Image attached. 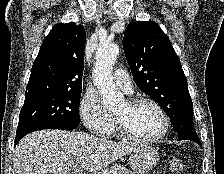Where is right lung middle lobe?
<instances>
[{"label": "right lung middle lobe", "instance_id": "1", "mask_svg": "<svg viewBox=\"0 0 224 174\" xmlns=\"http://www.w3.org/2000/svg\"><path fill=\"white\" fill-rule=\"evenodd\" d=\"M80 90L43 91L25 96L18 128H54L79 124Z\"/></svg>", "mask_w": 224, "mask_h": 174}]
</instances>
